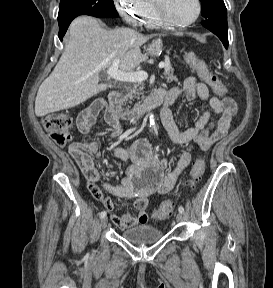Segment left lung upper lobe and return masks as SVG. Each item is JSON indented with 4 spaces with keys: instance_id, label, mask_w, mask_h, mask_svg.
Here are the masks:
<instances>
[{
    "instance_id": "5c2ea615",
    "label": "left lung upper lobe",
    "mask_w": 273,
    "mask_h": 288,
    "mask_svg": "<svg viewBox=\"0 0 273 288\" xmlns=\"http://www.w3.org/2000/svg\"><path fill=\"white\" fill-rule=\"evenodd\" d=\"M204 21L227 20V9L223 0H200Z\"/></svg>"
}]
</instances>
